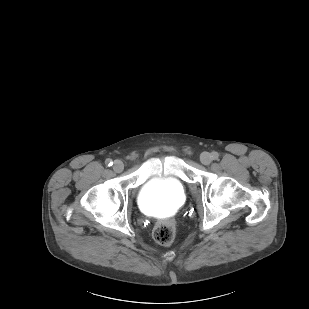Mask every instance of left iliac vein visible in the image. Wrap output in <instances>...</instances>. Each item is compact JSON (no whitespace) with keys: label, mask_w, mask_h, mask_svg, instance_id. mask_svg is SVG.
Segmentation results:
<instances>
[{"label":"left iliac vein","mask_w":309,"mask_h":309,"mask_svg":"<svg viewBox=\"0 0 309 309\" xmlns=\"http://www.w3.org/2000/svg\"><path fill=\"white\" fill-rule=\"evenodd\" d=\"M200 161L203 165H209L212 162V157L209 153L204 152L200 155Z\"/></svg>","instance_id":"obj_1"}]
</instances>
